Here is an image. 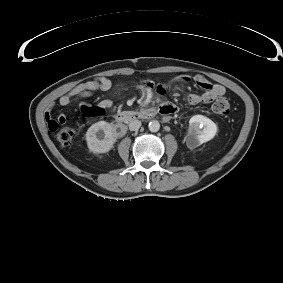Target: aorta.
Instances as JSON below:
<instances>
[{
    "label": "aorta",
    "mask_w": 283,
    "mask_h": 283,
    "mask_svg": "<svg viewBox=\"0 0 283 283\" xmlns=\"http://www.w3.org/2000/svg\"><path fill=\"white\" fill-rule=\"evenodd\" d=\"M148 128L151 132H157L160 129V123L157 120H151L149 122Z\"/></svg>",
    "instance_id": "762f6f07"
}]
</instances>
